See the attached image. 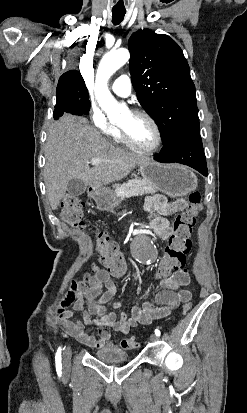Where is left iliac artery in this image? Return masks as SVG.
Masks as SVG:
<instances>
[{"label":"left iliac artery","mask_w":247,"mask_h":413,"mask_svg":"<svg viewBox=\"0 0 247 413\" xmlns=\"http://www.w3.org/2000/svg\"><path fill=\"white\" fill-rule=\"evenodd\" d=\"M155 334H156V336H160L161 333H160V331H159L158 329H156V330H155Z\"/></svg>","instance_id":"left-iliac-artery-1"}]
</instances>
